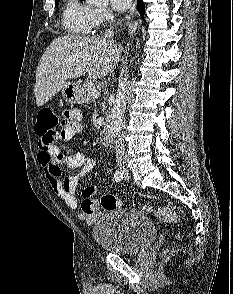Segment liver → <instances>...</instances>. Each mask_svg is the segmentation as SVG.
<instances>
[{"instance_id":"6515ba94","label":"liver","mask_w":233,"mask_h":294,"mask_svg":"<svg viewBox=\"0 0 233 294\" xmlns=\"http://www.w3.org/2000/svg\"><path fill=\"white\" fill-rule=\"evenodd\" d=\"M122 47L104 37L65 36L54 39L42 55L34 93L43 106L67 83L88 73L90 78L108 75L118 63Z\"/></svg>"}]
</instances>
